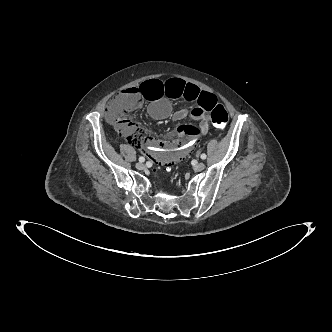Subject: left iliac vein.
<instances>
[{
  "mask_svg": "<svg viewBox=\"0 0 332 332\" xmlns=\"http://www.w3.org/2000/svg\"><path fill=\"white\" fill-rule=\"evenodd\" d=\"M205 167H206L205 164L202 163V162H200V163L195 164L194 167H193V169H194L195 171L199 172V171L204 170Z\"/></svg>",
  "mask_w": 332,
  "mask_h": 332,
  "instance_id": "obj_1",
  "label": "left iliac vein"
}]
</instances>
